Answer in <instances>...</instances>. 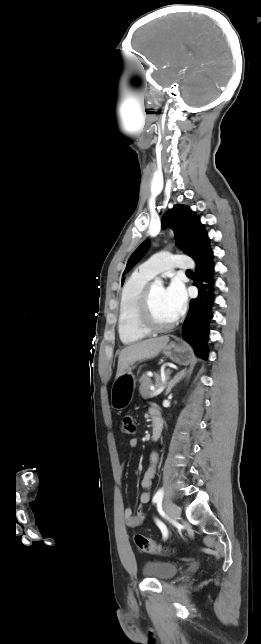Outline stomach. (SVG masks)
<instances>
[{
	"mask_svg": "<svg viewBox=\"0 0 261 644\" xmlns=\"http://www.w3.org/2000/svg\"><path fill=\"white\" fill-rule=\"evenodd\" d=\"M162 353L179 365H188L193 360L192 350L185 343L170 342L162 349ZM135 387L136 378L132 367H129L112 384L110 397L112 408L123 410L128 407L134 397Z\"/></svg>",
	"mask_w": 261,
	"mask_h": 644,
	"instance_id": "0dacf381",
	"label": "stomach"
}]
</instances>
